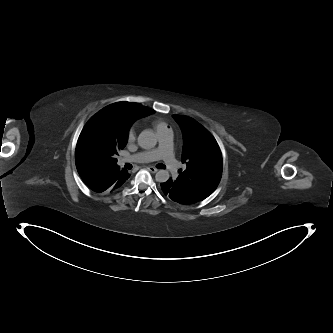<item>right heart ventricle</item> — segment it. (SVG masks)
<instances>
[{"label":"right heart ventricle","mask_w":333,"mask_h":333,"mask_svg":"<svg viewBox=\"0 0 333 333\" xmlns=\"http://www.w3.org/2000/svg\"><path fill=\"white\" fill-rule=\"evenodd\" d=\"M153 126L158 134L169 129L168 125L165 122L160 121V120L153 121Z\"/></svg>","instance_id":"obj_1"}]
</instances>
